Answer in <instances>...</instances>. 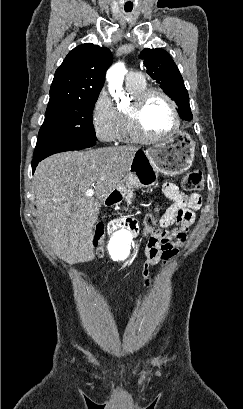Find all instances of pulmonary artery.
Segmentation results:
<instances>
[{"label":"pulmonary artery","mask_w":243,"mask_h":409,"mask_svg":"<svg viewBox=\"0 0 243 409\" xmlns=\"http://www.w3.org/2000/svg\"><path fill=\"white\" fill-rule=\"evenodd\" d=\"M144 82V77L139 72H129L126 75V84H141Z\"/></svg>","instance_id":"e3ab8cb5"}]
</instances>
